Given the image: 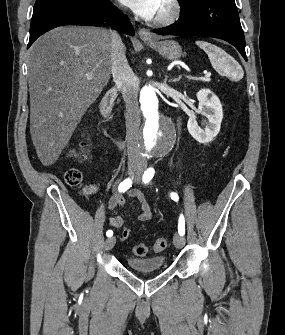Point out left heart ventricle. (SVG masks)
<instances>
[{"instance_id":"b2bd125f","label":"left heart ventricle","mask_w":285,"mask_h":335,"mask_svg":"<svg viewBox=\"0 0 285 335\" xmlns=\"http://www.w3.org/2000/svg\"><path fill=\"white\" fill-rule=\"evenodd\" d=\"M163 3H164V1H158L159 7H160L159 15L161 14L162 9H163Z\"/></svg>"}]
</instances>
